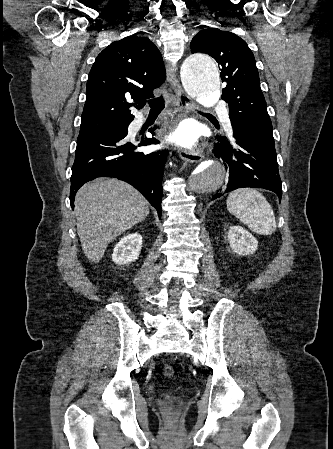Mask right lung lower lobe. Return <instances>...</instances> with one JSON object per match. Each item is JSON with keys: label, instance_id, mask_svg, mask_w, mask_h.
Wrapping results in <instances>:
<instances>
[{"label": "right lung lower lobe", "instance_id": "1", "mask_svg": "<svg viewBox=\"0 0 333 449\" xmlns=\"http://www.w3.org/2000/svg\"><path fill=\"white\" fill-rule=\"evenodd\" d=\"M128 125L122 130L78 136L71 176L72 209L75 194L84 183L102 176L116 177L139 190L161 217L162 177L166 157L160 151L149 154L135 151L137 147L158 144L159 141L147 137H142L138 143L129 141ZM149 132L154 135L153 128Z\"/></svg>", "mask_w": 333, "mask_h": 449}]
</instances>
